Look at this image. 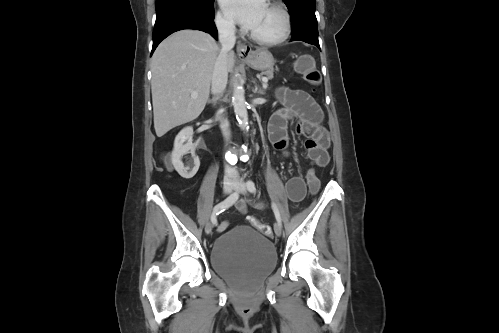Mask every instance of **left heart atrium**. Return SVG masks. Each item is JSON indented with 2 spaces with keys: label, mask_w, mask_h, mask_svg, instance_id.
Wrapping results in <instances>:
<instances>
[{
  "label": "left heart atrium",
  "mask_w": 499,
  "mask_h": 333,
  "mask_svg": "<svg viewBox=\"0 0 499 333\" xmlns=\"http://www.w3.org/2000/svg\"><path fill=\"white\" fill-rule=\"evenodd\" d=\"M226 15L247 29H252L266 8L265 0H220Z\"/></svg>",
  "instance_id": "39dd6f15"
}]
</instances>
